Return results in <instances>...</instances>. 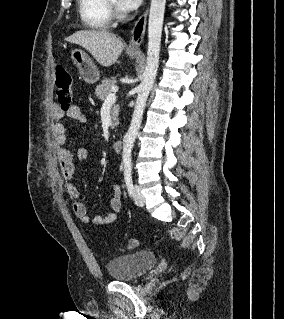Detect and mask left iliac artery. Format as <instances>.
<instances>
[{
    "mask_svg": "<svg viewBox=\"0 0 284 319\" xmlns=\"http://www.w3.org/2000/svg\"><path fill=\"white\" fill-rule=\"evenodd\" d=\"M124 179L126 183V187L128 190L129 195L133 194V181H132V163L131 159L125 158L124 159Z\"/></svg>",
    "mask_w": 284,
    "mask_h": 319,
    "instance_id": "1",
    "label": "left iliac artery"
}]
</instances>
